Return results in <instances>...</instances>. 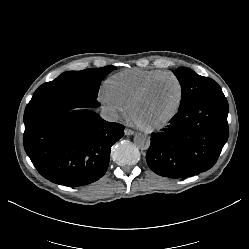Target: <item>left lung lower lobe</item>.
<instances>
[{
    "label": "left lung lower lobe",
    "mask_w": 249,
    "mask_h": 249,
    "mask_svg": "<svg viewBox=\"0 0 249 249\" xmlns=\"http://www.w3.org/2000/svg\"><path fill=\"white\" fill-rule=\"evenodd\" d=\"M228 111L224 94L179 108L167 128L152 133L146 154L149 167L169 178H187L210 169L228 139Z\"/></svg>",
    "instance_id": "1"
}]
</instances>
